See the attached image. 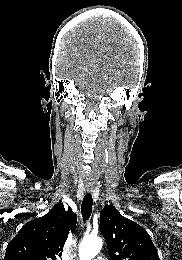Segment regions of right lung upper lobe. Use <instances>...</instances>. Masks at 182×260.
<instances>
[{
  "label": "right lung upper lobe",
  "instance_id": "1",
  "mask_svg": "<svg viewBox=\"0 0 182 260\" xmlns=\"http://www.w3.org/2000/svg\"><path fill=\"white\" fill-rule=\"evenodd\" d=\"M77 215L55 205L46 215L22 226L8 243L4 260H59L69 229L74 231Z\"/></svg>",
  "mask_w": 182,
  "mask_h": 260
}]
</instances>
